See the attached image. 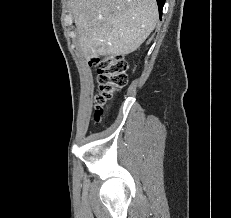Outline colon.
<instances>
[{
    "label": "colon",
    "instance_id": "colon-1",
    "mask_svg": "<svg viewBox=\"0 0 231 218\" xmlns=\"http://www.w3.org/2000/svg\"><path fill=\"white\" fill-rule=\"evenodd\" d=\"M91 66L98 72V93L94 120L99 122L103 116V106L127 83V62L120 55L94 57Z\"/></svg>",
    "mask_w": 231,
    "mask_h": 218
}]
</instances>
